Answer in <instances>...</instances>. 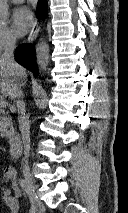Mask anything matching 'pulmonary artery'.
Returning <instances> with one entry per match:
<instances>
[{
  "mask_svg": "<svg viewBox=\"0 0 128 213\" xmlns=\"http://www.w3.org/2000/svg\"><path fill=\"white\" fill-rule=\"evenodd\" d=\"M14 3H22L24 2L25 0H12Z\"/></svg>",
  "mask_w": 128,
  "mask_h": 213,
  "instance_id": "1",
  "label": "pulmonary artery"
}]
</instances>
